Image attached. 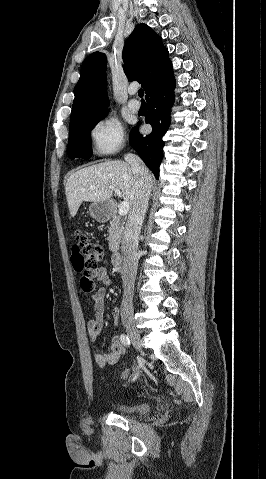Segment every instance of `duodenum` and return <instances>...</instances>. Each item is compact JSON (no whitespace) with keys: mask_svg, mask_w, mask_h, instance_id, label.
Wrapping results in <instances>:
<instances>
[{"mask_svg":"<svg viewBox=\"0 0 266 479\" xmlns=\"http://www.w3.org/2000/svg\"><path fill=\"white\" fill-rule=\"evenodd\" d=\"M112 265L115 272H120L124 266V259L120 253H115L112 256Z\"/></svg>","mask_w":266,"mask_h":479,"instance_id":"1","label":"duodenum"}]
</instances>
